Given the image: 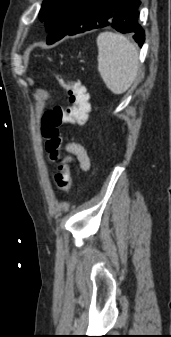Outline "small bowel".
<instances>
[{
	"label": "small bowel",
	"instance_id": "c3829d8e",
	"mask_svg": "<svg viewBox=\"0 0 171 337\" xmlns=\"http://www.w3.org/2000/svg\"><path fill=\"white\" fill-rule=\"evenodd\" d=\"M65 150L70 153L63 158L66 163H76L83 171L90 168L91 162L86 149L78 143L69 142L65 146Z\"/></svg>",
	"mask_w": 171,
	"mask_h": 337
}]
</instances>
